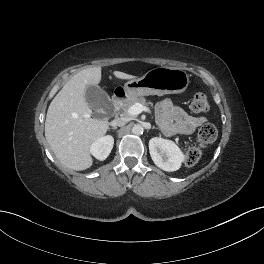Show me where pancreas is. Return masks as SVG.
I'll return each mask as SVG.
<instances>
[{
  "instance_id": "pancreas-1",
  "label": "pancreas",
  "mask_w": 264,
  "mask_h": 264,
  "mask_svg": "<svg viewBox=\"0 0 264 264\" xmlns=\"http://www.w3.org/2000/svg\"><path fill=\"white\" fill-rule=\"evenodd\" d=\"M136 103H140L142 105L150 104L146 102V99L144 97H132V98L125 99L120 104V108L122 109L125 116H129L128 109Z\"/></svg>"
}]
</instances>
